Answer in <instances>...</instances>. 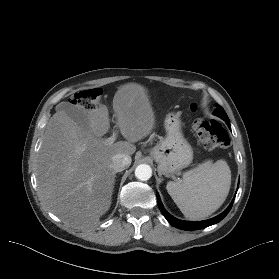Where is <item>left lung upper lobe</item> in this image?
<instances>
[{"mask_svg": "<svg viewBox=\"0 0 279 279\" xmlns=\"http://www.w3.org/2000/svg\"><path fill=\"white\" fill-rule=\"evenodd\" d=\"M217 107L218 108L215 110L214 114L223 119L227 124L230 123L229 118L224 109L220 105H217Z\"/></svg>", "mask_w": 279, "mask_h": 279, "instance_id": "5c2ea615", "label": "left lung upper lobe"}]
</instances>
